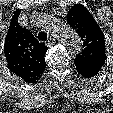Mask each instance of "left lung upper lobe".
Here are the masks:
<instances>
[{
    "label": "left lung upper lobe",
    "instance_id": "left-lung-upper-lobe-1",
    "mask_svg": "<svg viewBox=\"0 0 113 113\" xmlns=\"http://www.w3.org/2000/svg\"><path fill=\"white\" fill-rule=\"evenodd\" d=\"M67 22L83 40L84 49L76 56L75 65L99 71L106 60L104 34L99 25L82 4L68 11Z\"/></svg>",
    "mask_w": 113,
    "mask_h": 113
}]
</instances>
